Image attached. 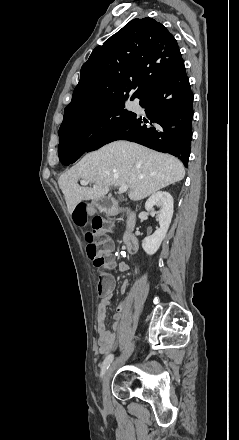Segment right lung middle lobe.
I'll return each instance as SVG.
<instances>
[{"instance_id": "1", "label": "right lung middle lobe", "mask_w": 239, "mask_h": 440, "mask_svg": "<svg viewBox=\"0 0 239 440\" xmlns=\"http://www.w3.org/2000/svg\"><path fill=\"white\" fill-rule=\"evenodd\" d=\"M127 99L128 97L111 99L93 111L63 121L58 132V150L63 147H87L102 133L128 120L133 112L123 109ZM133 99L135 98L130 100Z\"/></svg>"}]
</instances>
